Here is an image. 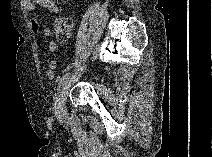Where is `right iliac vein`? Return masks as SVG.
I'll return each instance as SVG.
<instances>
[{
    "label": "right iliac vein",
    "instance_id": "1",
    "mask_svg": "<svg viewBox=\"0 0 212 157\" xmlns=\"http://www.w3.org/2000/svg\"><path fill=\"white\" fill-rule=\"evenodd\" d=\"M70 86V82H65L62 89L59 92V96H58V114L63 113L64 111V105H65V101H66V94H67V90Z\"/></svg>",
    "mask_w": 212,
    "mask_h": 157
}]
</instances>
